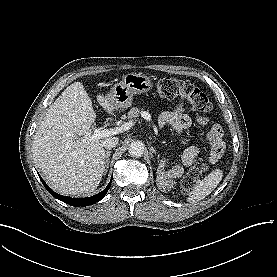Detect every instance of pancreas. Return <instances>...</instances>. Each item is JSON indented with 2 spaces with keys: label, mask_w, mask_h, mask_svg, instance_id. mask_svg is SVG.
I'll use <instances>...</instances> for the list:
<instances>
[{
  "label": "pancreas",
  "mask_w": 277,
  "mask_h": 277,
  "mask_svg": "<svg viewBox=\"0 0 277 277\" xmlns=\"http://www.w3.org/2000/svg\"><path fill=\"white\" fill-rule=\"evenodd\" d=\"M142 112L143 110H140L137 107H133L128 112V118L136 119Z\"/></svg>",
  "instance_id": "pancreas-1"
}]
</instances>
